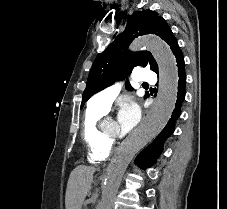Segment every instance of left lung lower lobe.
Returning <instances> with one entry per match:
<instances>
[{
    "instance_id": "obj_1",
    "label": "left lung lower lobe",
    "mask_w": 227,
    "mask_h": 209,
    "mask_svg": "<svg viewBox=\"0 0 227 209\" xmlns=\"http://www.w3.org/2000/svg\"><path fill=\"white\" fill-rule=\"evenodd\" d=\"M176 62L178 66V94L177 101L175 104V109L172 112L171 118L169 119L167 125L160 132V134L154 139V141L147 146L136 158L135 163L142 169H146L155 163L156 158L160 155L163 150L165 141L173 133L175 127L176 119L180 116L181 105L185 97V84H186V74L184 69V57L180 47L177 48L175 52Z\"/></svg>"
}]
</instances>
